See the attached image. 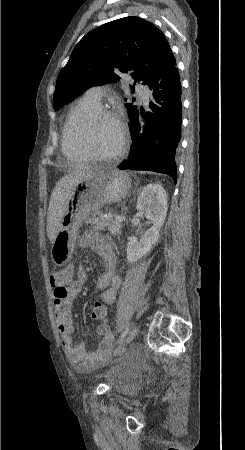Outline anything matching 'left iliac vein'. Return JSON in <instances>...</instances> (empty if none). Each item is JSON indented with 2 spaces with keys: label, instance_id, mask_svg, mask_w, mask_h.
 <instances>
[{
  "label": "left iliac vein",
  "instance_id": "1",
  "mask_svg": "<svg viewBox=\"0 0 245 450\" xmlns=\"http://www.w3.org/2000/svg\"><path fill=\"white\" fill-rule=\"evenodd\" d=\"M138 334V327H135L131 330V332L129 333L126 341L124 342L122 348H121V352L124 350V348L136 337V335Z\"/></svg>",
  "mask_w": 245,
  "mask_h": 450
}]
</instances>
